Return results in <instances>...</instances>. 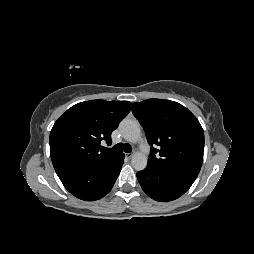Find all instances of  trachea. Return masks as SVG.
<instances>
[{
  "mask_svg": "<svg viewBox=\"0 0 254 254\" xmlns=\"http://www.w3.org/2000/svg\"><path fill=\"white\" fill-rule=\"evenodd\" d=\"M112 150L113 151H124V152L129 153L132 151V147L129 144L118 143L112 148Z\"/></svg>",
  "mask_w": 254,
  "mask_h": 254,
  "instance_id": "trachea-1",
  "label": "trachea"
}]
</instances>
